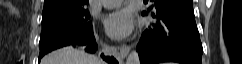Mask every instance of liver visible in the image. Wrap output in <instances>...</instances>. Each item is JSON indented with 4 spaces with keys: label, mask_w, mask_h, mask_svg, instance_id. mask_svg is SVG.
Instances as JSON below:
<instances>
[{
    "label": "liver",
    "mask_w": 242,
    "mask_h": 64,
    "mask_svg": "<svg viewBox=\"0 0 242 64\" xmlns=\"http://www.w3.org/2000/svg\"><path fill=\"white\" fill-rule=\"evenodd\" d=\"M41 64H103L101 60L83 50L65 47L46 55Z\"/></svg>",
    "instance_id": "obj_1"
}]
</instances>
